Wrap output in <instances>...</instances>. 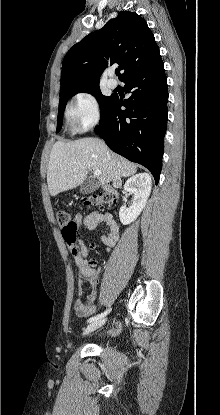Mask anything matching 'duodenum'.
I'll list each match as a JSON object with an SVG mask.
<instances>
[{
    "instance_id": "obj_1",
    "label": "duodenum",
    "mask_w": 220,
    "mask_h": 415,
    "mask_svg": "<svg viewBox=\"0 0 220 415\" xmlns=\"http://www.w3.org/2000/svg\"><path fill=\"white\" fill-rule=\"evenodd\" d=\"M105 189L110 193H113V194L115 193V190L110 187H106Z\"/></svg>"
}]
</instances>
